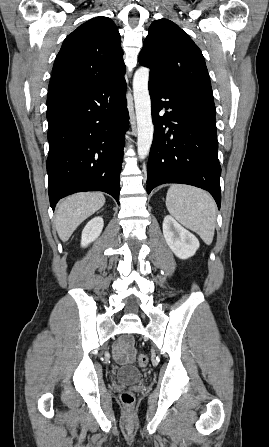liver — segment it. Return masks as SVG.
Masks as SVG:
<instances>
[{"label": "liver", "instance_id": "1", "mask_svg": "<svg viewBox=\"0 0 269 447\" xmlns=\"http://www.w3.org/2000/svg\"><path fill=\"white\" fill-rule=\"evenodd\" d=\"M105 204L101 192H84L68 196L56 210L55 225L62 241H67L74 229Z\"/></svg>", "mask_w": 269, "mask_h": 447}]
</instances>
